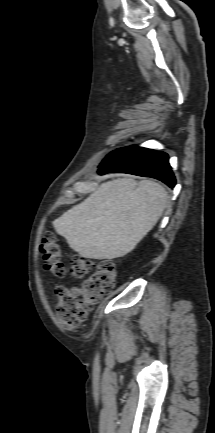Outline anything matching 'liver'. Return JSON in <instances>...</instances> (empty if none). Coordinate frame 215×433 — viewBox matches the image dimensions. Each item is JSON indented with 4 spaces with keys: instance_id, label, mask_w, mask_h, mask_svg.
Returning <instances> with one entry per match:
<instances>
[{
    "instance_id": "6515ba94",
    "label": "liver",
    "mask_w": 215,
    "mask_h": 433,
    "mask_svg": "<svg viewBox=\"0 0 215 433\" xmlns=\"http://www.w3.org/2000/svg\"><path fill=\"white\" fill-rule=\"evenodd\" d=\"M168 194L152 180L118 178L53 221L56 232L84 258L123 257L156 225Z\"/></svg>"
}]
</instances>
